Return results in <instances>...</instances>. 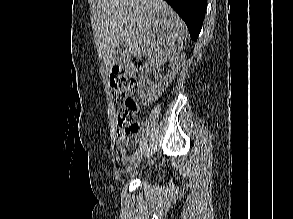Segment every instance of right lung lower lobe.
Returning <instances> with one entry per match:
<instances>
[{
	"label": "right lung lower lobe",
	"instance_id": "98d812e1",
	"mask_svg": "<svg viewBox=\"0 0 293 219\" xmlns=\"http://www.w3.org/2000/svg\"><path fill=\"white\" fill-rule=\"evenodd\" d=\"M185 21L191 39L196 41L202 28L207 0H165Z\"/></svg>",
	"mask_w": 293,
	"mask_h": 219
}]
</instances>
